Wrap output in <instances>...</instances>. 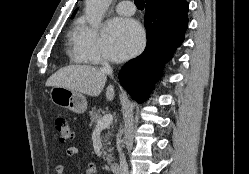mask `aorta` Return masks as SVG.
Masks as SVG:
<instances>
[{
  "label": "aorta",
  "mask_w": 249,
  "mask_h": 174,
  "mask_svg": "<svg viewBox=\"0 0 249 174\" xmlns=\"http://www.w3.org/2000/svg\"><path fill=\"white\" fill-rule=\"evenodd\" d=\"M111 1L112 0H86V19L93 28H98L101 25L104 13Z\"/></svg>",
  "instance_id": "obj_1"
}]
</instances>
